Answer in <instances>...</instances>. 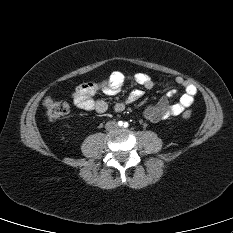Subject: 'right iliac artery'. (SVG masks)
<instances>
[{
  "label": "right iliac artery",
  "instance_id": "1",
  "mask_svg": "<svg viewBox=\"0 0 233 233\" xmlns=\"http://www.w3.org/2000/svg\"><path fill=\"white\" fill-rule=\"evenodd\" d=\"M118 125H119V126H123V122H122V121H119V122H118Z\"/></svg>",
  "mask_w": 233,
  "mask_h": 233
}]
</instances>
